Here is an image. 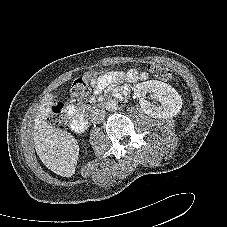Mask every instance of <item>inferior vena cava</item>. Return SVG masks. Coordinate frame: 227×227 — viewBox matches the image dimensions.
I'll return each mask as SVG.
<instances>
[{"label": "inferior vena cava", "instance_id": "602c4592", "mask_svg": "<svg viewBox=\"0 0 227 227\" xmlns=\"http://www.w3.org/2000/svg\"><path fill=\"white\" fill-rule=\"evenodd\" d=\"M93 123H100L105 118V110L95 109L90 115Z\"/></svg>", "mask_w": 227, "mask_h": 227}]
</instances>
